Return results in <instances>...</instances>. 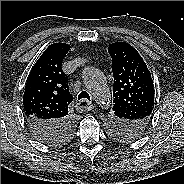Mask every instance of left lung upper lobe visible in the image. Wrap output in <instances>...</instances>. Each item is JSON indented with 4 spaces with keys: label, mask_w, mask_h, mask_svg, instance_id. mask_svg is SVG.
<instances>
[{
    "label": "left lung upper lobe",
    "mask_w": 184,
    "mask_h": 184,
    "mask_svg": "<svg viewBox=\"0 0 184 184\" xmlns=\"http://www.w3.org/2000/svg\"><path fill=\"white\" fill-rule=\"evenodd\" d=\"M114 76L113 110L109 132L117 140L136 139L148 126L154 107L151 74L137 50L126 42L108 47Z\"/></svg>",
    "instance_id": "left-lung-upper-lobe-1"
}]
</instances>
